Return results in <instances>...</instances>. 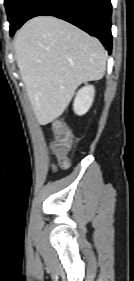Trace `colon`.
Segmentation results:
<instances>
[{
    "instance_id": "5ec220e1",
    "label": "colon",
    "mask_w": 134,
    "mask_h": 281,
    "mask_svg": "<svg viewBox=\"0 0 134 281\" xmlns=\"http://www.w3.org/2000/svg\"><path fill=\"white\" fill-rule=\"evenodd\" d=\"M52 130L54 133V139L51 143L52 153L56 157L59 166L66 168L69 165V154L75 141L73 131L61 120L53 121Z\"/></svg>"
}]
</instances>
